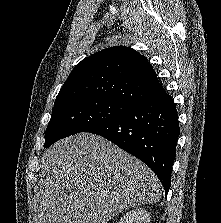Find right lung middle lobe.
<instances>
[{
    "label": "right lung middle lobe",
    "instance_id": "1",
    "mask_svg": "<svg viewBox=\"0 0 221 223\" xmlns=\"http://www.w3.org/2000/svg\"><path fill=\"white\" fill-rule=\"evenodd\" d=\"M133 106L128 102L95 96L78 97L55 103L45 133L44 147L107 122Z\"/></svg>",
    "mask_w": 221,
    "mask_h": 223
}]
</instances>
